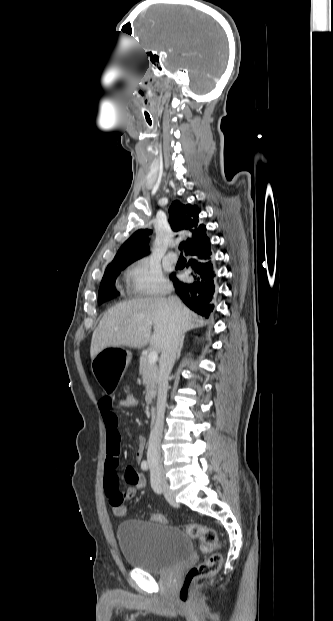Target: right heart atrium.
Returning a JSON list of instances; mask_svg holds the SVG:
<instances>
[{
	"mask_svg": "<svg viewBox=\"0 0 333 621\" xmlns=\"http://www.w3.org/2000/svg\"><path fill=\"white\" fill-rule=\"evenodd\" d=\"M127 280L130 292L138 296H159L170 289L161 269L147 259H141L131 266Z\"/></svg>",
	"mask_w": 333,
	"mask_h": 621,
	"instance_id": "d8ad5b80",
	"label": "right heart atrium"
}]
</instances>
